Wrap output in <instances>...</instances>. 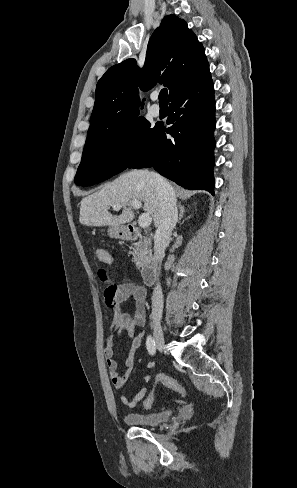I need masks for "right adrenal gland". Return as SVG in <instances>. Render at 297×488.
<instances>
[{"instance_id": "1", "label": "right adrenal gland", "mask_w": 297, "mask_h": 488, "mask_svg": "<svg viewBox=\"0 0 297 488\" xmlns=\"http://www.w3.org/2000/svg\"><path fill=\"white\" fill-rule=\"evenodd\" d=\"M178 208H179V218H178L177 222L180 223L181 218L183 217V215L185 213V208L180 203L178 205Z\"/></svg>"}]
</instances>
